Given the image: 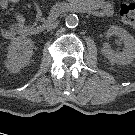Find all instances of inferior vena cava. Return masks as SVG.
Segmentation results:
<instances>
[{
	"label": "inferior vena cava",
	"mask_w": 135,
	"mask_h": 135,
	"mask_svg": "<svg viewBox=\"0 0 135 135\" xmlns=\"http://www.w3.org/2000/svg\"><path fill=\"white\" fill-rule=\"evenodd\" d=\"M57 25H58V22H57V21H56V22H53V23H51V24H49V25L47 26V30H52V29L55 28Z\"/></svg>",
	"instance_id": "obj_1"
}]
</instances>
